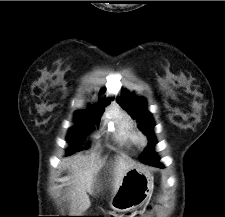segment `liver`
Here are the masks:
<instances>
[{
  "mask_svg": "<svg viewBox=\"0 0 225 217\" xmlns=\"http://www.w3.org/2000/svg\"><path fill=\"white\" fill-rule=\"evenodd\" d=\"M100 167V164L94 163L86 164L84 168L82 164L72 165L71 171L75 174V178L70 196L73 200L78 199L79 214L90 207V200L86 192H93V185L96 181L95 175L98 173ZM132 167H134L133 161L121 157L116 158L113 167V194L119 190L124 175Z\"/></svg>",
  "mask_w": 225,
  "mask_h": 217,
  "instance_id": "obj_1",
  "label": "liver"
}]
</instances>
